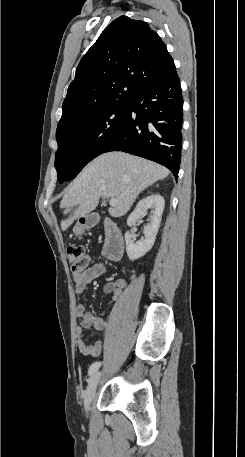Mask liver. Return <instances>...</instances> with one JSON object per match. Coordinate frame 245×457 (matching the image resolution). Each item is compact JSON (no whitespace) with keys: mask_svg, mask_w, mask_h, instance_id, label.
I'll use <instances>...</instances> for the list:
<instances>
[{"mask_svg":"<svg viewBox=\"0 0 245 457\" xmlns=\"http://www.w3.org/2000/svg\"><path fill=\"white\" fill-rule=\"evenodd\" d=\"M170 170L152 160L133 156L127 152H104L89 162L77 178L67 186L61 200L64 214L72 206L74 214L61 220V231H66L73 220L86 216L99 204L100 196L118 198V204L108 208L111 216H123L131 208L141 190L168 176Z\"/></svg>","mask_w":245,"mask_h":457,"instance_id":"1","label":"liver"}]
</instances>
